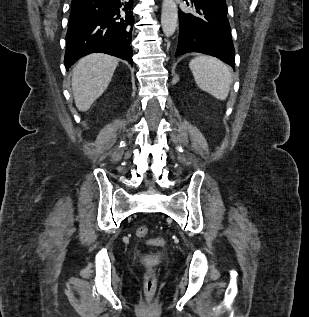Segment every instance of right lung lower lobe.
Returning <instances> with one entry per match:
<instances>
[{
  "mask_svg": "<svg viewBox=\"0 0 309 317\" xmlns=\"http://www.w3.org/2000/svg\"><path fill=\"white\" fill-rule=\"evenodd\" d=\"M134 0H72L66 34V69L94 52L132 60Z\"/></svg>",
  "mask_w": 309,
  "mask_h": 317,
  "instance_id": "right-lung-lower-lobe-1",
  "label": "right lung lower lobe"
}]
</instances>
